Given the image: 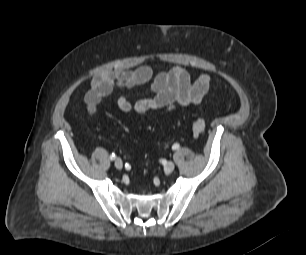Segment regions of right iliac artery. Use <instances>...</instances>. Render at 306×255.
Masks as SVG:
<instances>
[{
	"instance_id": "1",
	"label": "right iliac artery",
	"mask_w": 306,
	"mask_h": 255,
	"mask_svg": "<svg viewBox=\"0 0 306 255\" xmlns=\"http://www.w3.org/2000/svg\"><path fill=\"white\" fill-rule=\"evenodd\" d=\"M116 158V155L114 154V153H112L111 155H110V159L111 160H114Z\"/></svg>"
}]
</instances>
